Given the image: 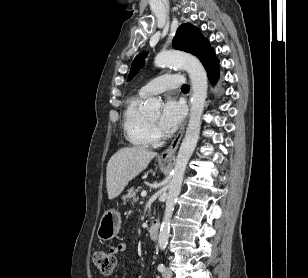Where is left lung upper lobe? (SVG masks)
Here are the masks:
<instances>
[{"mask_svg":"<svg viewBox=\"0 0 308 278\" xmlns=\"http://www.w3.org/2000/svg\"><path fill=\"white\" fill-rule=\"evenodd\" d=\"M173 47L196 55L206 70L212 69L219 64L215 51L210 47L208 40L201 35L199 29L191 24L180 25L173 39ZM146 56V52L136 56L129 72L128 81L132 80L140 68L143 67Z\"/></svg>","mask_w":308,"mask_h":278,"instance_id":"left-lung-upper-lobe-1","label":"left lung upper lobe"}]
</instances>
